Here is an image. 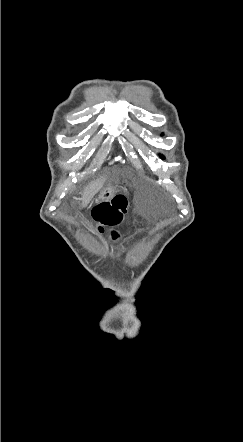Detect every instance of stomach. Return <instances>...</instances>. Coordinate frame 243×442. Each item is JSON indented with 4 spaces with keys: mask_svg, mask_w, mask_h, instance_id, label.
I'll list each match as a JSON object with an SVG mask.
<instances>
[{
    "mask_svg": "<svg viewBox=\"0 0 243 442\" xmlns=\"http://www.w3.org/2000/svg\"><path fill=\"white\" fill-rule=\"evenodd\" d=\"M115 194V190L113 187H106L104 188L99 196H98V201H102V200H109L110 198H112V196Z\"/></svg>",
    "mask_w": 243,
    "mask_h": 442,
    "instance_id": "obj_1",
    "label": "stomach"
}]
</instances>
